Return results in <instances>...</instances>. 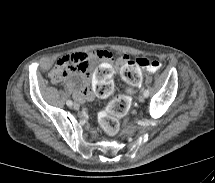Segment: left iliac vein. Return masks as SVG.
Here are the masks:
<instances>
[{"label": "left iliac vein", "mask_w": 215, "mask_h": 183, "mask_svg": "<svg viewBox=\"0 0 215 183\" xmlns=\"http://www.w3.org/2000/svg\"><path fill=\"white\" fill-rule=\"evenodd\" d=\"M139 102H143L145 100V96L144 95H140L138 98Z\"/></svg>", "instance_id": "4c4485c4"}]
</instances>
